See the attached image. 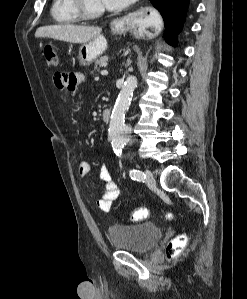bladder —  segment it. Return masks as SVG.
I'll use <instances>...</instances> for the list:
<instances>
[{
    "mask_svg": "<svg viewBox=\"0 0 247 299\" xmlns=\"http://www.w3.org/2000/svg\"><path fill=\"white\" fill-rule=\"evenodd\" d=\"M112 246L118 250L147 253L162 236V229L149 222L134 225H115L108 229Z\"/></svg>",
    "mask_w": 247,
    "mask_h": 299,
    "instance_id": "obj_1",
    "label": "bladder"
}]
</instances>
